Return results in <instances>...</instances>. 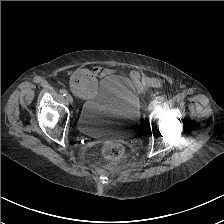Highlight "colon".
<instances>
[{
  "instance_id": "5ec220e1",
  "label": "colon",
  "mask_w": 224,
  "mask_h": 224,
  "mask_svg": "<svg viewBox=\"0 0 224 224\" xmlns=\"http://www.w3.org/2000/svg\"><path fill=\"white\" fill-rule=\"evenodd\" d=\"M97 75L89 69H80L75 72L71 80L72 90L81 97H90L98 87ZM108 158H119L123 154V146L118 142H107L102 148Z\"/></svg>"
}]
</instances>
